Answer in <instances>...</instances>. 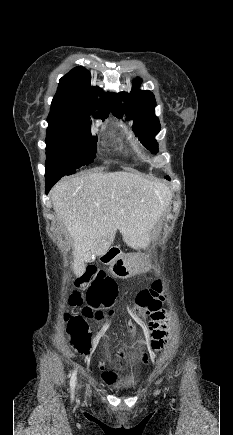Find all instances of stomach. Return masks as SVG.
I'll return each instance as SVG.
<instances>
[{
  "mask_svg": "<svg viewBox=\"0 0 233 435\" xmlns=\"http://www.w3.org/2000/svg\"><path fill=\"white\" fill-rule=\"evenodd\" d=\"M151 266V260L142 252L121 255L112 262V273L122 279L129 278Z\"/></svg>",
  "mask_w": 233,
  "mask_h": 435,
  "instance_id": "stomach-1",
  "label": "stomach"
}]
</instances>
